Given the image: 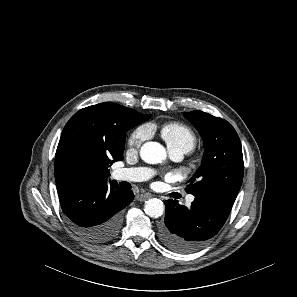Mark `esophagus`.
Segmentation results:
<instances>
[{
  "instance_id": "esophagus-1",
  "label": "esophagus",
  "mask_w": 297,
  "mask_h": 297,
  "mask_svg": "<svg viewBox=\"0 0 297 297\" xmlns=\"http://www.w3.org/2000/svg\"><path fill=\"white\" fill-rule=\"evenodd\" d=\"M151 196L152 195L149 194V193H139V194L136 195V200L145 201V200L151 198Z\"/></svg>"
}]
</instances>
